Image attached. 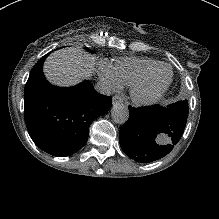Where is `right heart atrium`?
<instances>
[{"label":"right heart atrium","mask_w":219,"mask_h":219,"mask_svg":"<svg viewBox=\"0 0 219 219\" xmlns=\"http://www.w3.org/2000/svg\"><path fill=\"white\" fill-rule=\"evenodd\" d=\"M99 77L107 88L114 92L120 91L123 87L107 63H102L99 67Z\"/></svg>","instance_id":"obj_1"}]
</instances>
